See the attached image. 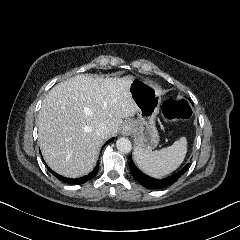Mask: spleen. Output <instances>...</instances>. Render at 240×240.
Instances as JSON below:
<instances>
[{"instance_id": "3e777b00", "label": "spleen", "mask_w": 240, "mask_h": 240, "mask_svg": "<svg viewBox=\"0 0 240 240\" xmlns=\"http://www.w3.org/2000/svg\"><path fill=\"white\" fill-rule=\"evenodd\" d=\"M188 139L180 137L171 146L159 151H143L135 147L133 156L139 168L149 177L162 179L175 172L186 159Z\"/></svg>"}]
</instances>
